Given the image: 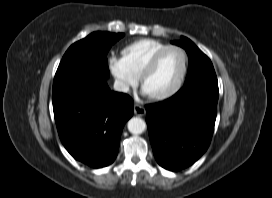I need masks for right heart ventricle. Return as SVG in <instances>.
Here are the masks:
<instances>
[{
    "instance_id": "e07e8e85",
    "label": "right heart ventricle",
    "mask_w": 272,
    "mask_h": 198,
    "mask_svg": "<svg viewBox=\"0 0 272 198\" xmlns=\"http://www.w3.org/2000/svg\"><path fill=\"white\" fill-rule=\"evenodd\" d=\"M166 46L168 44L159 40L144 38L125 46L121 54L129 69L139 77L152 56Z\"/></svg>"
}]
</instances>
